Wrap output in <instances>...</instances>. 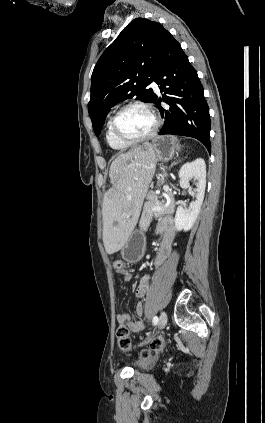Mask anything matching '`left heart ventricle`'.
<instances>
[{
    "label": "left heart ventricle",
    "instance_id": "left-heart-ventricle-1",
    "mask_svg": "<svg viewBox=\"0 0 265 423\" xmlns=\"http://www.w3.org/2000/svg\"><path fill=\"white\" fill-rule=\"evenodd\" d=\"M152 127V117L141 108H130L123 112L118 119L119 131L129 138L144 136Z\"/></svg>",
    "mask_w": 265,
    "mask_h": 423
}]
</instances>
